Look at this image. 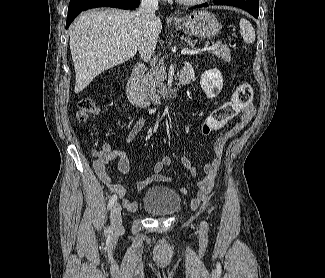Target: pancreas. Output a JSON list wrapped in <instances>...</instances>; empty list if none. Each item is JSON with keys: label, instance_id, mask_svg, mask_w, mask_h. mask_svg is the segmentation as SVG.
Masks as SVG:
<instances>
[{"label": "pancreas", "instance_id": "cf45deb5", "mask_svg": "<svg viewBox=\"0 0 325 278\" xmlns=\"http://www.w3.org/2000/svg\"><path fill=\"white\" fill-rule=\"evenodd\" d=\"M185 41L189 45H192L190 38H185ZM212 53L226 62L231 59L230 49L227 45H219ZM166 74L164 64L159 63L152 67L143 79V90L145 95L153 103H160L161 96H166V86L164 85Z\"/></svg>", "mask_w": 325, "mask_h": 278}]
</instances>
